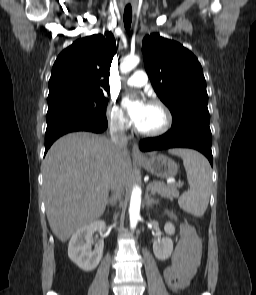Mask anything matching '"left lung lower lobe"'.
Listing matches in <instances>:
<instances>
[{"instance_id":"obj_1","label":"left lung lower lobe","mask_w":256,"mask_h":295,"mask_svg":"<svg viewBox=\"0 0 256 295\" xmlns=\"http://www.w3.org/2000/svg\"><path fill=\"white\" fill-rule=\"evenodd\" d=\"M175 147L192 148L203 153L213 166L211 151V131L209 124L187 121L171 129L162 136L143 139L139 143L142 151L161 150Z\"/></svg>"}]
</instances>
